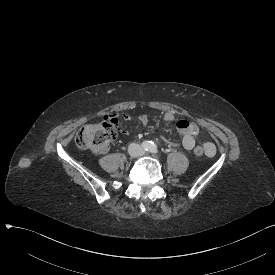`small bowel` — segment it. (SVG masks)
<instances>
[{"label": "small bowel", "mask_w": 275, "mask_h": 275, "mask_svg": "<svg viewBox=\"0 0 275 275\" xmlns=\"http://www.w3.org/2000/svg\"><path fill=\"white\" fill-rule=\"evenodd\" d=\"M119 112L118 111H113L112 114H105L102 116V121L103 122H108V121H112V124L115 126V130L119 132L120 135L125 136L128 134V129L125 127H122L121 124H119V121L116 119L119 117ZM123 116V120L124 121H129L131 119L129 114H124L121 115ZM164 120L167 122H172L174 120V114L171 112H167L164 115ZM140 121L142 123H146L148 121V118L146 115H142L140 116ZM176 127L178 129V131L180 132V134L182 135V139L180 141V144L183 146L184 149L186 150H192L195 147L196 141H195V137L199 134V127L197 124H195L194 122H191L189 120L186 119H180L177 121L176 123ZM169 144H173L172 142H168ZM204 148L206 150V154L209 157H212L215 155L216 153V148L215 145L211 142H207L204 145Z\"/></svg>", "instance_id": "small-bowel-1"}]
</instances>
